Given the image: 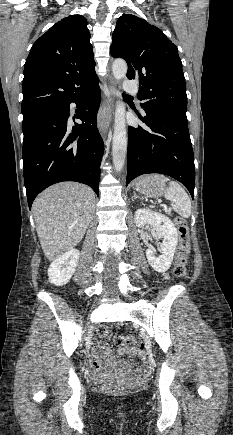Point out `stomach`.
Masks as SVG:
<instances>
[{
    "label": "stomach",
    "instance_id": "obj_1",
    "mask_svg": "<svg viewBox=\"0 0 233 435\" xmlns=\"http://www.w3.org/2000/svg\"><path fill=\"white\" fill-rule=\"evenodd\" d=\"M166 179L162 175L151 174L141 177L135 183V188L140 194L158 198L165 194Z\"/></svg>",
    "mask_w": 233,
    "mask_h": 435
}]
</instances>
